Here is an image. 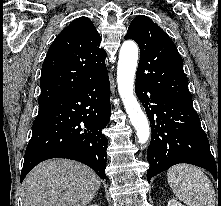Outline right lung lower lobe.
<instances>
[{"label":"right lung lower lobe","mask_w":221,"mask_h":206,"mask_svg":"<svg viewBox=\"0 0 221 206\" xmlns=\"http://www.w3.org/2000/svg\"><path fill=\"white\" fill-rule=\"evenodd\" d=\"M110 115L108 73L69 96L39 106L21 182L34 166L51 158L80 161L106 180L108 141L102 129Z\"/></svg>","instance_id":"obj_1"}]
</instances>
